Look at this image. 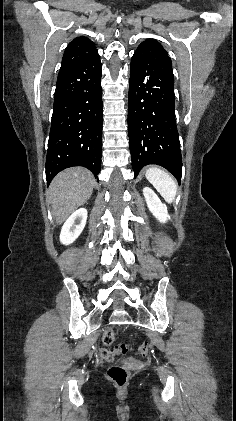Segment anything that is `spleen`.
<instances>
[{
    "label": "spleen",
    "mask_w": 236,
    "mask_h": 421,
    "mask_svg": "<svg viewBox=\"0 0 236 421\" xmlns=\"http://www.w3.org/2000/svg\"><path fill=\"white\" fill-rule=\"evenodd\" d=\"M146 178L157 188L166 202H173L177 194V184L168 172L158 166H150L146 170Z\"/></svg>",
    "instance_id": "1"
}]
</instances>
